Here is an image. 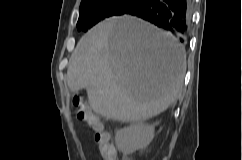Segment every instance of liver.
<instances>
[{
    "label": "liver",
    "instance_id": "6515ba94",
    "mask_svg": "<svg viewBox=\"0 0 242 160\" xmlns=\"http://www.w3.org/2000/svg\"><path fill=\"white\" fill-rule=\"evenodd\" d=\"M185 71V49L174 37L124 15L100 22L80 39L67 84L73 93L86 89L95 113L143 122L178 98Z\"/></svg>",
    "mask_w": 242,
    "mask_h": 160
}]
</instances>
